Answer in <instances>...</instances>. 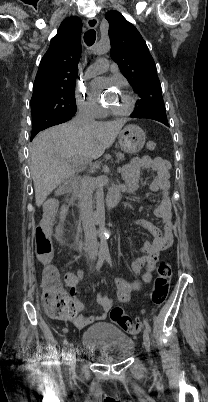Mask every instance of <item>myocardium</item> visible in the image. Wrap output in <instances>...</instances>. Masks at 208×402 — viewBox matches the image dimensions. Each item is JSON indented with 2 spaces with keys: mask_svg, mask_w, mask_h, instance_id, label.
I'll use <instances>...</instances> for the list:
<instances>
[{
  "mask_svg": "<svg viewBox=\"0 0 208 402\" xmlns=\"http://www.w3.org/2000/svg\"><path fill=\"white\" fill-rule=\"evenodd\" d=\"M124 92L129 97V103L124 108H115L112 105H110L108 102H103L104 107L114 115L128 116L134 112V110L137 106V97L135 96V94L132 91H130L129 89H125Z\"/></svg>",
  "mask_w": 208,
  "mask_h": 402,
  "instance_id": "1",
  "label": "myocardium"
}]
</instances>
